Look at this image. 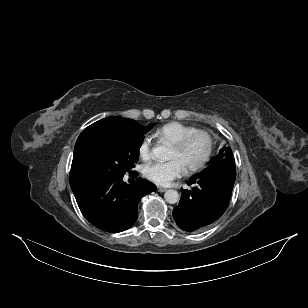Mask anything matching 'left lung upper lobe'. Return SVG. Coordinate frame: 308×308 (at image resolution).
Here are the masks:
<instances>
[{
    "label": "left lung upper lobe",
    "mask_w": 308,
    "mask_h": 308,
    "mask_svg": "<svg viewBox=\"0 0 308 308\" xmlns=\"http://www.w3.org/2000/svg\"><path fill=\"white\" fill-rule=\"evenodd\" d=\"M223 158H233V153L230 147H223L219 154L211 160L210 164Z\"/></svg>",
    "instance_id": "1"
}]
</instances>
